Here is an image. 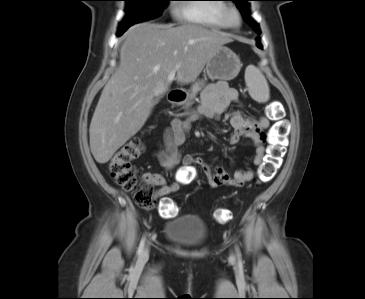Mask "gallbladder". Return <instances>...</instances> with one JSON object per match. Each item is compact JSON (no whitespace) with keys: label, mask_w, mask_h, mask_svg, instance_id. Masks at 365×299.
Returning <instances> with one entry per match:
<instances>
[{"label":"gallbladder","mask_w":365,"mask_h":299,"mask_svg":"<svg viewBox=\"0 0 365 299\" xmlns=\"http://www.w3.org/2000/svg\"><path fill=\"white\" fill-rule=\"evenodd\" d=\"M158 102H159V99H155L154 105L157 104Z\"/></svg>","instance_id":"obj_1"}]
</instances>
